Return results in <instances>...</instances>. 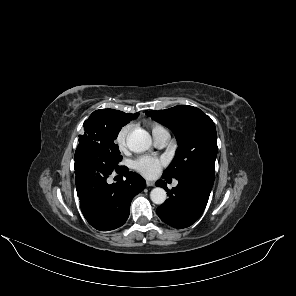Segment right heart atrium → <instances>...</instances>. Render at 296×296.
<instances>
[{"label": "right heart atrium", "mask_w": 296, "mask_h": 296, "mask_svg": "<svg viewBox=\"0 0 296 296\" xmlns=\"http://www.w3.org/2000/svg\"><path fill=\"white\" fill-rule=\"evenodd\" d=\"M132 131L131 125L123 126L117 133L115 142L121 151H124L128 145V138Z\"/></svg>", "instance_id": "obj_1"}]
</instances>
